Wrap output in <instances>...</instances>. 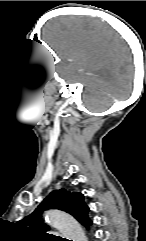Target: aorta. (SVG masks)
<instances>
[{"label":"aorta","instance_id":"762f6f07","mask_svg":"<svg viewBox=\"0 0 146 241\" xmlns=\"http://www.w3.org/2000/svg\"><path fill=\"white\" fill-rule=\"evenodd\" d=\"M45 219L67 239L72 241H87L81 226L69 214L58 209H51L45 213Z\"/></svg>","mask_w":146,"mask_h":241}]
</instances>
